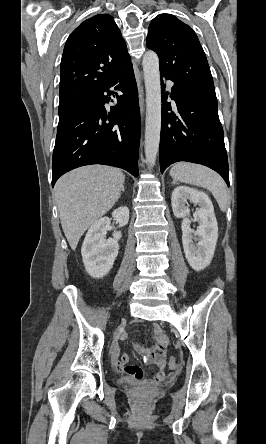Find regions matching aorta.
Listing matches in <instances>:
<instances>
[{
  "label": "aorta",
  "instance_id": "1",
  "mask_svg": "<svg viewBox=\"0 0 266 444\" xmlns=\"http://www.w3.org/2000/svg\"><path fill=\"white\" fill-rule=\"evenodd\" d=\"M143 72L146 89L145 157L148 165L155 164L161 130V84L159 58L154 51L143 56Z\"/></svg>",
  "mask_w": 266,
  "mask_h": 444
}]
</instances>
